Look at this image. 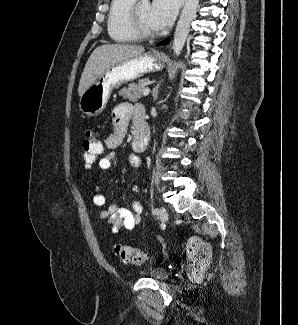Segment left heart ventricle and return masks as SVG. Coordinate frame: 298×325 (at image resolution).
I'll list each match as a JSON object with an SVG mask.
<instances>
[{"mask_svg": "<svg viewBox=\"0 0 298 325\" xmlns=\"http://www.w3.org/2000/svg\"><path fill=\"white\" fill-rule=\"evenodd\" d=\"M152 4L149 1L143 2L138 9V21L140 27L150 33L161 32L153 15Z\"/></svg>", "mask_w": 298, "mask_h": 325, "instance_id": "left-heart-ventricle-1", "label": "left heart ventricle"}]
</instances>
